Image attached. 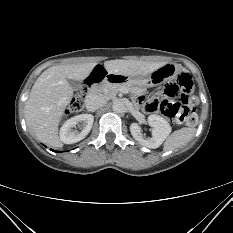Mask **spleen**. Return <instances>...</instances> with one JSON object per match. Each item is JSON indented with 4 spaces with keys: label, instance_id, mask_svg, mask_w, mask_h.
<instances>
[{
    "label": "spleen",
    "instance_id": "3e777b00",
    "mask_svg": "<svg viewBox=\"0 0 233 233\" xmlns=\"http://www.w3.org/2000/svg\"><path fill=\"white\" fill-rule=\"evenodd\" d=\"M195 128H181L174 131L164 143V151L175 150L185 146L194 136Z\"/></svg>",
    "mask_w": 233,
    "mask_h": 233
}]
</instances>
